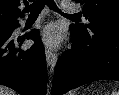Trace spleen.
Listing matches in <instances>:
<instances>
[{"mask_svg":"<svg viewBox=\"0 0 119 95\" xmlns=\"http://www.w3.org/2000/svg\"><path fill=\"white\" fill-rule=\"evenodd\" d=\"M112 95H119V92H113Z\"/></svg>","mask_w":119,"mask_h":95,"instance_id":"1","label":"spleen"}]
</instances>
